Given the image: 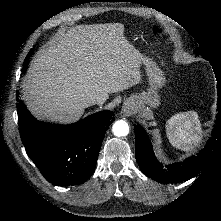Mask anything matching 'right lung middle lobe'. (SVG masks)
I'll return each instance as SVG.
<instances>
[{
	"mask_svg": "<svg viewBox=\"0 0 221 221\" xmlns=\"http://www.w3.org/2000/svg\"><path fill=\"white\" fill-rule=\"evenodd\" d=\"M32 53H33V50L31 49V50H30V53H28L27 57L25 58V61H24V64H23V67H25V68H24V71L26 70V66H27L28 63H29V56H30Z\"/></svg>",
	"mask_w": 221,
	"mask_h": 221,
	"instance_id": "1",
	"label": "right lung middle lobe"
}]
</instances>
